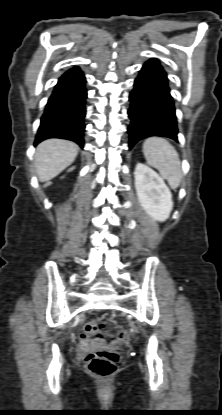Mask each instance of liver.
<instances>
[{"mask_svg": "<svg viewBox=\"0 0 222 415\" xmlns=\"http://www.w3.org/2000/svg\"><path fill=\"white\" fill-rule=\"evenodd\" d=\"M79 147L63 139H49L40 143L35 154V170L41 182H47L59 175L73 163Z\"/></svg>", "mask_w": 222, "mask_h": 415, "instance_id": "obj_1", "label": "liver"}]
</instances>
